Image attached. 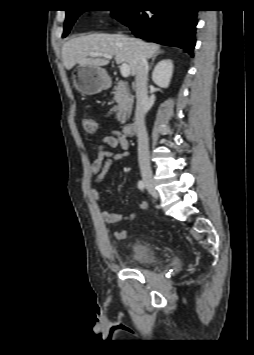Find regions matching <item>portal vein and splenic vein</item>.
<instances>
[{
    "instance_id": "18ae733b",
    "label": "portal vein and splenic vein",
    "mask_w": 254,
    "mask_h": 355,
    "mask_svg": "<svg viewBox=\"0 0 254 355\" xmlns=\"http://www.w3.org/2000/svg\"><path fill=\"white\" fill-rule=\"evenodd\" d=\"M89 55L91 57H99V56H102V57H105L107 59H112L113 58V55H110V54H104V53H99V52H91L89 53ZM120 72H121V75L124 77V78H127L129 75H130V67L127 63H123L121 66H120Z\"/></svg>"
}]
</instances>
